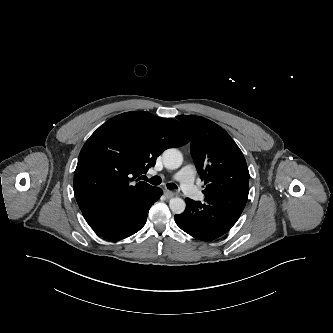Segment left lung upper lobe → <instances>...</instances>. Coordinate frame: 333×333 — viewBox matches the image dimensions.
I'll use <instances>...</instances> for the list:
<instances>
[{
    "mask_svg": "<svg viewBox=\"0 0 333 333\" xmlns=\"http://www.w3.org/2000/svg\"><path fill=\"white\" fill-rule=\"evenodd\" d=\"M177 118L191 135V153L204 181V194L227 183L249 180L243 153L223 128L195 115Z\"/></svg>",
    "mask_w": 333,
    "mask_h": 333,
    "instance_id": "5c2ea615",
    "label": "left lung upper lobe"
}]
</instances>
